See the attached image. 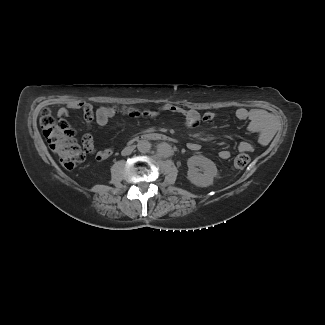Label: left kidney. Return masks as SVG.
<instances>
[{
    "label": "left kidney",
    "instance_id": "1",
    "mask_svg": "<svg viewBox=\"0 0 325 325\" xmlns=\"http://www.w3.org/2000/svg\"><path fill=\"white\" fill-rule=\"evenodd\" d=\"M188 180L198 187H208L218 177V169L213 161L202 156L194 155L187 160Z\"/></svg>",
    "mask_w": 325,
    "mask_h": 325
}]
</instances>
